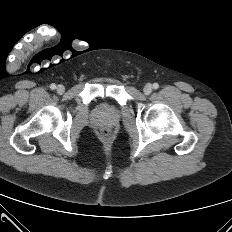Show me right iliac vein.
Returning <instances> with one entry per match:
<instances>
[{
	"label": "right iliac vein",
	"mask_w": 232,
	"mask_h": 232,
	"mask_svg": "<svg viewBox=\"0 0 232 232\" xmlns=\"http://www.w3.org/2000/svg\"><path fill=\"white\" fill-rule=\"evenodd\" d=\"M56 90L58 94H63L65 92V87L63 85H58Z\"/></svg>",
	"instance_id": "1"
}]
</instances>
